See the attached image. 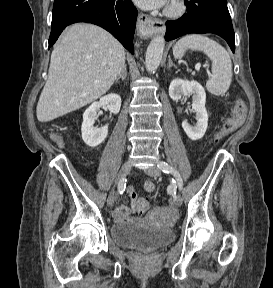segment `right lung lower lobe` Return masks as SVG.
I'll return each instance as SVG.
<instances>
[{
  "label": "right lung lower lobe",
  "mask_w": 273,
  "mask_h": 288,
  "mask_svg": "<svg viewBox=\"0 0 273 288\" xmlns=\"http://www.w3.org/2000/svg\"><path fill=\"white\" fill-rule=\"evenodd\" d=\"M136 19L131 0H54L49 48L66 26L88 22L109 31L133 54Z\"/></svg>",
  "instance_id": "98d812e1"
}]
</instances>
